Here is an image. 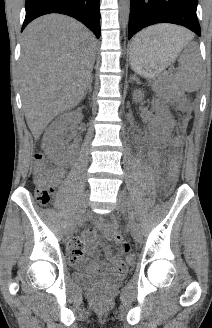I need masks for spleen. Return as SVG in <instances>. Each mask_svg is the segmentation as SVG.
Masks as SVG:
<instances>
[{
  "label": "spleen",
  "mask_w": 212,
  "mask_h": 328,
  "mask_svg": "<svg viewBox=\"0 0 212 328\" xmlns=\"http://www.w3.org/2000/svg\"><path fill=\"white\" fill-rule=\"evenodd\" d=\"M151 28V27H150ZM146 29L139 33L135 38V44H142L136 50L143 49L153 43H156L158 36L155 32ZM179 62L181 69L175 75L177 85L188 92L196 91L199 89L202 82V72L199 64V53L196 43H192L180 56Z\"/></svg>",
  "instance_id": "obj_1"
}]
</instances>
